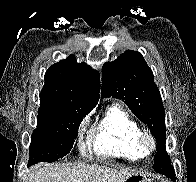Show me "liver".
I'll list each match as a JSON object with an SVG mask.
<instances>
[{"label": "liver", "mask_w": 196, "mask_h": 182, "mask_svg": "<svg viewBox=\"0 0 196 182\" xmlns=\"http://www.w3.org/2000/svg\"><path fill=\"white\" fill-rule=\"evenodd\" d=\"M135 174L127 169H112L99 165H37L29 182H125Z\"/></svg>", "instance_id": "liver-1"}]
</instances>
